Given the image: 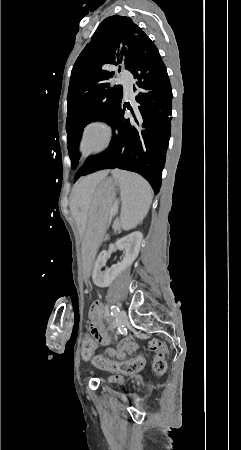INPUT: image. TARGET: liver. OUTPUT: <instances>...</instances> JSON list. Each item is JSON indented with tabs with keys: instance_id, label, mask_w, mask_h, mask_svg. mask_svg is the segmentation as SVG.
I'll use <instances>...</instances> for the list:
<instances>
[{
	"instance_id": "6515ba94",
	"label": "liver",
	"mask_w": 241,
	"mask_h": 450,
	"mask_svg": "<svg viewBox=\"0 0 241 450\" xmlns=\"http://www.w3.org/2000/svg\"><path fill=\"white\" fill-rule=\"evenodd\" d=\"M110 170H102L96 174H90L86 178H80L73 186L72 194L70 196V210L73 214H77L78 210H82L84 220L86 218L87 210L91 204V200L102 180H105Z\"/></svg>"
}]
</instances>
